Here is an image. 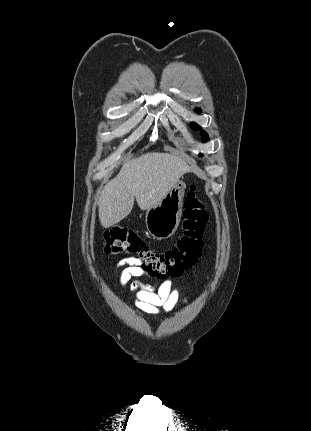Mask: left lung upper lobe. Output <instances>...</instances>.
<instances>
[{
    "label": "left lung upper lobe",
    "mask_w": 311,
    "mask_h": 431,
    "mask_svg": "<svg viewBox=\"0 0 311 431\" xmlns=\"http://www.w3.org/2000/svg\"><path fill=\"white\" fill-rule=\"evenodd\" d=\"M197 112H200V110L199 109H197L196 110ZM192 128L193 129H198V130H200L201 128L197 125V124H195V123H192ZM201 136H202V140H203V142H206L207 140H208V135H207V133L204 131V130H201Z\"/></svg>",
    "instance_id": "obj_1"
}]
</instances>
